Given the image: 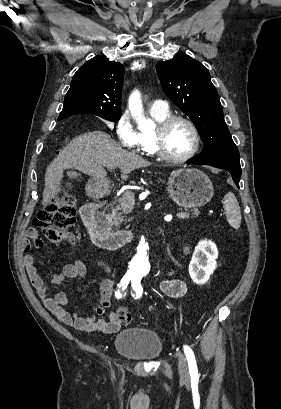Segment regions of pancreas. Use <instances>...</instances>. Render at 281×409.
<instances>
[{
	"label": "pancreas",
	"mask_w": 281,
	"mask_h": 409,
	"mask_svg": "<svg viewBox=\"0 0 281 409\" xmlns=\"http://www.w3.org/2000/svg\"><path fill=\"white\" fill-rule=\"evenodd\" d=\"M124 198V196H121V198H117L116 202H120V205H115V207H112L111 209L110 217H112L113 219L112 225H114V227H120L122 221H124L123 215H126V213H131V209H133L124 207ZM119 211H121V213H119ZM191 215H196V217H198V209H192Z\"/></svg>",
	"instance_id": "obj_1"
}]
</instances>
